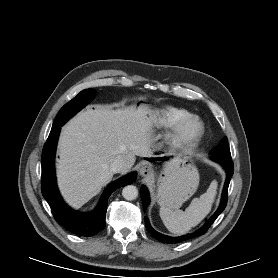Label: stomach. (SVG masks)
Returning <instances> with one entry per match:
<instances>
[{"mask_svg": "<svg viewBox=\"0 0 278 278\" xmlns=\"http://www.w3.org/2000/svg\"><path fill=\"white\" fill-rule=\"evenodd\" d=\"M199 174L195 166L180 156L168 160L158 178L157 201L160 206L178 208L197 190Z\"/></svg>", "mask_w": 278, "mask_h": 278, "instance_id": "1", "label": "stomach"}]
</instances>
